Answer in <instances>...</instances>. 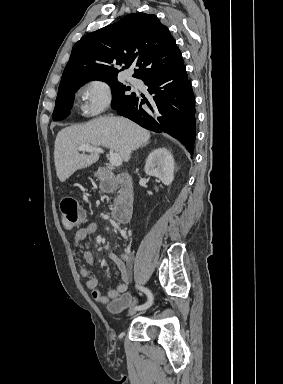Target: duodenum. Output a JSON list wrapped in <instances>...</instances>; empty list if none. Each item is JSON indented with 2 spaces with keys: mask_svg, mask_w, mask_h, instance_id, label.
<instances>
[{
  "mask_svg": "<svg viewBox=\"0 0 283 384\" xmlns=\"http://www.w3.org/2000/svg\"><path fill=\"white\" fill-rule=\"evenodd\" d=\"M100 173L102 180H112L116 178V180L122 184L123 190L113 210V218L120 224L128 223L132 217L135 196L130 176L124 173L114 177L106 168H101Z\"/></svg>",
  "mask_w": 283,
  "mask_h": 384,
  "instance_id": "410a0bca",
  "label": "duodenum"
}]
</instances>
